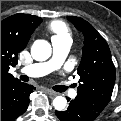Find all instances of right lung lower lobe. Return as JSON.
Here are the masks:
<instances>
[{
  "label": "right lung lower lobe",
  "mask_w": 121,
  "mask_h": 121,
  "mask_svg": "<svg viewBox=\"0 0 121 121\" xmlns=\"http://www.w3.org/2000/svg\"><path fill=\"white\" fill-rule=\"evenodd\" d=\"M34 86L19 80L5 83L1 86V120H14L23 114L29 104V95Z\"/></svg>",
  "instance_id": "98d812e1"
}]
</instances>
